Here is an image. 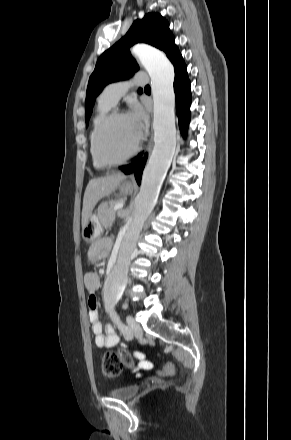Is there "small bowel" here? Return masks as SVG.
Instances as JSON below:
<instances>
[{"instance_id":"c3829d8e","label":"small bowel","mask_w":291,"mask_h":440,"mask_svg":"<svg viewBox=\"0 0 291 440\" xmlns=\"http://www.w3.org/2000/svg\"><path fill=\"white\" fill-rule=\"evenodd\" d=\"M111 250V241L102 239L92 245L88 252L87 261L89 264H95L101 258L107 256ZM85 287L88 291L89 321L92 331L95 334V343L99 347L111 348L119 344V338L112 325L104 326L99 315L98 300L96 291L100 287V278L98 274L89 272L84 277ZM153 367L151 362L140 360L135 370H150Z\"/></svg>"}]
</instances>
